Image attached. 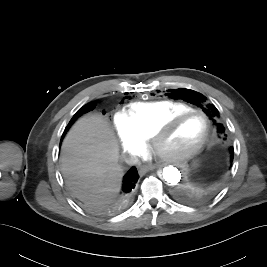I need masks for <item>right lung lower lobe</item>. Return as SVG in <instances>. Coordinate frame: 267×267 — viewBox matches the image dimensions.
Returning <instances> with one entry per match:
<instances>
[{"mask_svg":"<svg viewBox=\"0 0 267 267\" xmlns=\"http://www.w3.org/2000/svg\"><path fill=\"white\" fill-rule=\"evenodd\" d=\"M95 107L94 104H88L85 105L80 111H78L73 118L71 119V121L69 122V124L67 125L64 134L66 133V131L68 130V128L71 126V124L75 121V119L78 116H81L82 114L93 110ZM62 136V138H63ZM139 175H138V171L136 169V167H131V169L125 174L124 178H123V186H122V192L123 195L127 198L129 196V194L133 191V189L136 186V183L138 181Z\"/></svg>","mask_w":267,"mask_h":267,"instance_id":"right-lung-lower-lobe-1","label":"right lung lower lobe"}]
</instances>
